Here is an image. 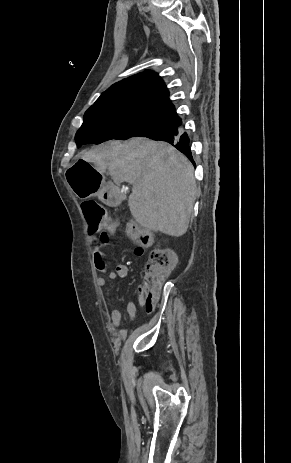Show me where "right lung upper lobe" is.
Listing matches in <instances>:
<instances>
[{"label": "right lung upper lobe", "mask_w": 291, "mask_h": 463, "mask_svg": "<svg viewBox=\"0 0 291 463\" xmlns=\"http://www.w3.org/2000/svg\"><path fill=\"white\" fill-rule=\"evenodd\" d=\"M89 109L113 113H136L182 123L158 74L146 71L112 85Z\"/></svg>", "instance_id": "cb5924a9"}]
</instances>
